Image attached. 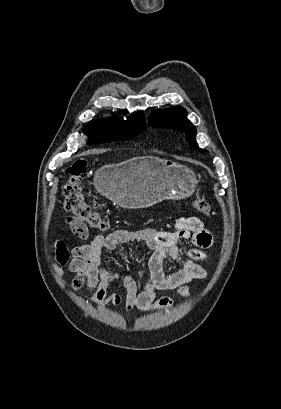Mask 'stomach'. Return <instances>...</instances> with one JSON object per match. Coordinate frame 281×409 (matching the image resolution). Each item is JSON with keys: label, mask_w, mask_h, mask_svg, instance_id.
Returning <instances> with one entry per match:
<instances>
[{"label": "stomach", "mask_w": 281, "mask_h": 409, "mask_svg": "<svg viewBox=\"0 0 281 409\" xmlns=\"http://www.w3.org/2000/svg\"><path fill=\"white\" fill-rule=\"evenodd\" d=\"M192 168L158 156H134L105 164L94 174V186L123 209H146L165 198L180 200L195 192Z\"/></svg>", "instance_id": "0dacf381"}]
</instances>
